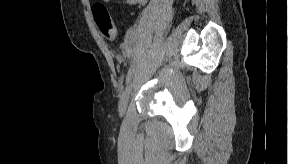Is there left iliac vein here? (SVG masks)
<instances>
[{"label": "left iliac vein", "instance_id": "obj_1", "mask_svg": "<svg viewBox=\"0 0 288 164\" xmlns=\"http://www.w3.org/2000/svg\"><path fill=\"white\" fill-rule=\"evenodd\" d=\"M132 91V83H129L125 90L123 91L120 101H119V105H118V109H119V115L122 116L124 115L126 109H127V105L129 102V98H130V94Z\"/></svg>", "mask_w": 288, "mask_h": 164}]
</instances>
